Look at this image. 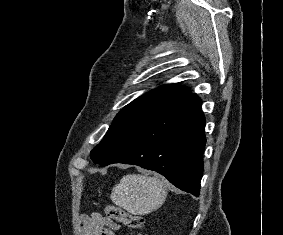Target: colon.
<instances>
[{"label":"colon","mask_w":283,"mask_h":235,"mask_svg":"<svg viewBox=\"0 0 283 235\" xmlns=\"http://www.w3.org/2000/svg\"><path fill=\"white\" fill-rule=\"evenodd\" d=\"M105 214L109 220L122 223L137 231H141L145 227V220L143 217L125 211L116 205H107ZM137 235L142 234L138 233Z\"/></svg>","instance_id":"5ec220e1"}]
</instances>
